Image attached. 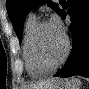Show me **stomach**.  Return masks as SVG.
<instances>
[{"mask_svg": "<svg viewBox=\"0 0 89 89\" xmlns=\"http://www.w3.org/2000/svg\"><path fill=\"white\" fill-rule=\"evenodd\" d=\"M50 89H75L68 81H57Z\"/></svg>", "mask_w": 89, "mask_h": 89, "instance_id": "obj_1", "label": "stomach"}]
</instances>
